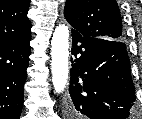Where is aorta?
Listing matches in <instances>:
<instances>
[{"label": "aorta", "mask_w": 142, "mask_h": 119, "mask_svg": "<svg viewBox=\"0 0 142 119\" xmlns=\"http://www.w3.org/2000/svg\"><path fill=\"white\" fill-rule=\"evenodd\" d=\"M69 29L66 25L55 28L51 40L52 84L56 93H61L68 79Z\"/></svg>", "instance_id": "obj_1"}]
</instances>
